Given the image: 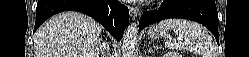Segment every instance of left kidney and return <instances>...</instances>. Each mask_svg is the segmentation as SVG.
I'll list each match as a JSON object with an SVG mask.
<instances>
[{
  "label": "left kidney",
  "instance_id": "1",
  "mask_svg": "<svg viewBox=\"0 0 249 57\" xmlns=\"http://www.w3.org/2000/svg\"><path fill=\"white\" fill-rule=\"evenodd\" d=\"M162 57H182V55L180 53L170 51L166 53L165 55H163Z\"/></svg>",
  "mask_w": 249,
  "mask_h": 57
}]
</instances>
